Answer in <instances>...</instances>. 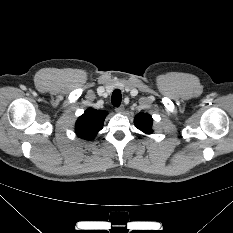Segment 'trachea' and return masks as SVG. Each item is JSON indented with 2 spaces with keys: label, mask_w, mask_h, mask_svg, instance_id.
<instances>
[{
  "label": "trachea",
  "mask_w": 233,
  "mask_h": 233,
  "mask_svg": "<svg viewBox=\"0 0 233 233\" xmlns=\"http://www.w3.org/2000/svg\"><path fill=\"white\" fill-rule=\"evenodd\" d=\"M111 101L115 107L120 106V104H121V92H120V90H118V89L114 90V92L112 93Z\"/></svg>",
  "instance_id": "3493384b"
}]
</instances>
